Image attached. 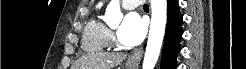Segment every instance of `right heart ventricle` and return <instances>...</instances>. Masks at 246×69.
I'll return each mask as SVG.
<instances>
[{"label": "right heart ventricle", "instance_id": "obj_1", "mask_svg": "<svg viewBox=\"0 0 246 69\" xmlns=\"http://www.w3.org/2000/svg\"><path fill=\"white\" fill-rule=\"evenodd\" d=\"M112 44V34L108 26L97 16L86 25L82 48L86 52H98L108 49Z\"/></svg>", "mask_w": 246, "mask_h": 69}]
</instances>
